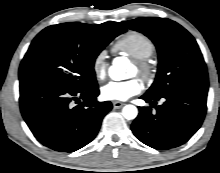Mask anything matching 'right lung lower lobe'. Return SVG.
I'll return each mask as SVG.
<instances>
[{
	"mask_svg": "<svg viewBox=\"0 0 220 173\" xmlns=\"http://www.w3.org/2000/svg\"><path fill=\"white\" fill-rule=\"evenodd\" d=\"M98 94L97 84L76 90L42 80L20 81V109L41 144L73 152L95 138L112 109L111 102L97 101Z\"/></svg>",
	"mask_w": 220,
	"mask_h": 173,
	"instance_id": "98d812e1",
	"label": "right lung lower lobe"
}]
</instances>
